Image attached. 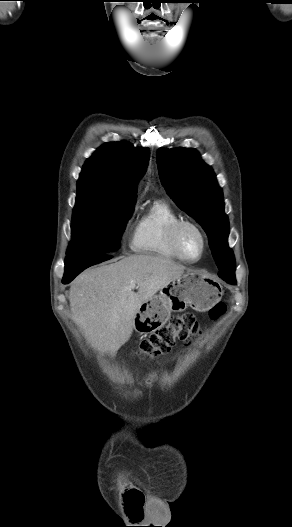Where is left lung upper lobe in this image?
Instances as JSON below:
<instances>
[{
	"mask_svg": "<svg viewBox=\"0 0 292 527\" xmlns=\"http://www.w3.org/2000/svg\"><path fill=\"white\" fill-rule=\"evenodd\" d=\"M157 165L169 196L205 230L219 275L234 277L235 259L227 242L229 222L213 170L189 148L159 149Z\"/></svg>",
	"mask_w": 292,
	"mask_h": 527,
	"instance_id": "5c2ea615",
	"label": "left lung upper lobe"
}]
</instances>
